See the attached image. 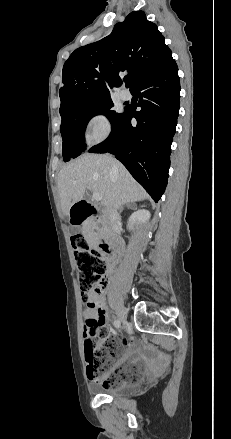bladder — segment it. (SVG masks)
Masks as SVG:
<instances>
[{"instance_id":"1","label":"bladder","mask_w":231,"mask_h":439,"mask_svg":"<svg viewBox=\"0 0 231 439\" xmlns=\"http://www.w3.org/2000/svg\"><path fill=\"white\" fill-rule=\"evenodd\" d=\"M125 371L131 375L141 376L143 373V365L136 359H132L127 365H125ZM93 390L98 394L111 397H129L134 394L137 387L132 385H118L115 387L95 385L93 386Z\"/></svg>"}]
</instances>
